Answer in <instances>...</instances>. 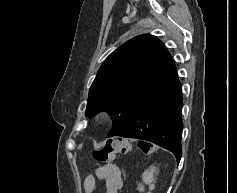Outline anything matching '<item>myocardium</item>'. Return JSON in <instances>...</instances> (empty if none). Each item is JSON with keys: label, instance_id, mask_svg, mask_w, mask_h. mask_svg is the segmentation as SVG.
I'll return each mask as SVG.
<instances>
[{"label": "myocardium", "instance_id": "1", "mask_svg": "<svg viewBox=\"0 0 237 193\" xmlns=\"http://www.w3.org/2000/svg\"><path fill=\"white\" fill-rule=\"evenodd\" d=\"M108 118V114L106 112H100L99 114H97L96 119L99 122H104L106 119Z\"/></svg>", "mask_w": 237, "mask_h": 193}]
</instances>
